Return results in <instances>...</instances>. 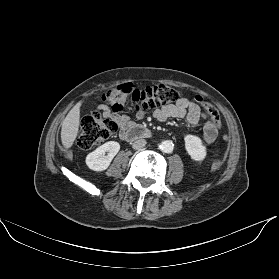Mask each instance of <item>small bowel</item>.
<instances>
[{
	"label": "small bowel",
	"instance_id": "small-bowel-1",
	"mask_svg": "<svg viewBox=\"0 0 279 279\" xmlns=\"http://www.w3.org/2000/svg\"><path fill=\"white\" fill-rule=\"evenodd\" d=\"M98 110L103 113H108L109 108L107 105L98 106ZM145 112H137L136 118H143ZM154 117L158 121H166L169 118H184L191 126H196L200 121H205L203 140L205 143H212L217 136V129L209 119V114L203 111L198 104L189 100L188 98H181L175 104L156 108L153 112ZM118 125L120 128V136L126 130L136 125V122L127 115L119 117Z\"/></svg>",
	"mask_w": 279,
	"mask_h": 279
}]
</instances>
